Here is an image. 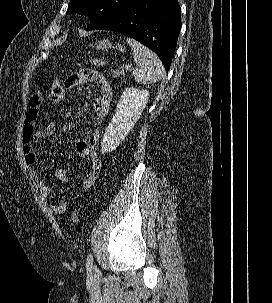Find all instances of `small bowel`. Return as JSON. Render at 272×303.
I'll use <instances>...</instances> for the list:
<instances>
[{
    "instance_id": "c3829d8e",
    "label": "small bowel",
    "mask_w": 272,
    "mask_h": 303,
    "mask_svg": "<svg viewBox=\"0 0 272 303\" xmlns=\"http://www.w3.org/2000/svg\"><path fill=\"white\" fill-rule=\"evenodd\" d=\"M88 81L97 84L99 94L93 104L95 115L96 129L87 137L78 139L74 142L75 152L78 156L87 158L89 166L86 170L85 177L81 182L82 189H90L97 177V171L101 166V160L97 153L96 146L100 139V126L107 117L111 101L112 89L107 79L99 72L91 69L80 70L73 73L65 83L66 88L80 86ZM43 101V95L35 93L29 100L28 111L25 115L24 126L22 130V151L24 160L28 166L30 178L44 201H48L51 188L45 182V176L41 175L35 164L37 162V154L35 150L36 143L40 138L51 136L54 132L53 126H44L40 130H36L37 118ZM53 177L61 183H67V173L62 168H55ZM50 209L54 214L62 215L67 210L65 201L53 202L50 204Z\"/></svg>"
}]
</instances>
